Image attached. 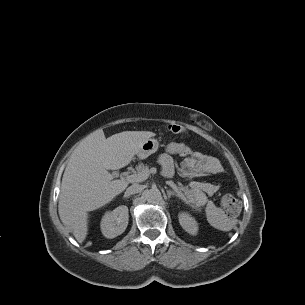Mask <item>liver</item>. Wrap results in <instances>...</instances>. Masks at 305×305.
<instances>
[{
  "instance_id": "liver-1",
  "label": "liver",
  "mask_w": 305,
  "mask_h": 305,
  "mask_svg": "<svg viewBox=\"0 0 305 305\" xmlns=\"http://www.w3.org/2000/svg\"><path fill=\"white\" fill-rule=\"evenodd\" d=\"M155 133L123 131L106 139L102 130L89 134L71 154L63 174L58 212L78 242L88 234V212L109 203L128 186L107 170L127 166L141 144Z\"/></svg>"
}]
</instances>
